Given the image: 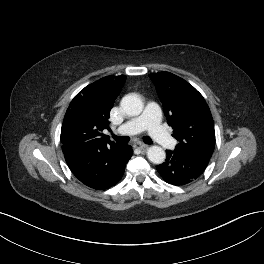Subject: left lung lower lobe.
<instances>
[{
    "label": "left lung lower lobe",
    "mask_w": 264,
    "mask_h": 264,
    "mask_svg": "<svg viewBox=\"0 0 264 264\" xmlns=\"http://www.w3.org/2000/svg\"><path fill=\"white\" fill-rule=\"evenodd\" d=\"M166 153V161L158 165L157 170L167 183L176 186L196 180L209 163V160L182 156L175 151Z\"/></svg>",
    "instance_id": "obj_1"
}]
</instances>
